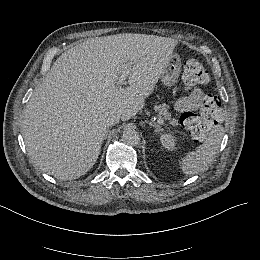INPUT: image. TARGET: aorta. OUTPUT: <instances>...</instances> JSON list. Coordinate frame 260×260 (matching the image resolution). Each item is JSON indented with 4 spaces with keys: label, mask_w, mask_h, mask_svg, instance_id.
Here are the masks:
<instances>
[{
    "label": "aorta",
    "mask_w": 260,
    "mask_h": 260,
    "mask_svg": "<svg viewBox=\"0 0 260 260\" xmlns=\"http://www.w3.org/2000/svg\"><path fill=\"white\" fill-rule=\"evenodd\" d=\"M122 141L128 145H138L140 142V135L133 127H127L122 133Z\"/></svg>",
    "instance_id": "1"
}]
</instances>
